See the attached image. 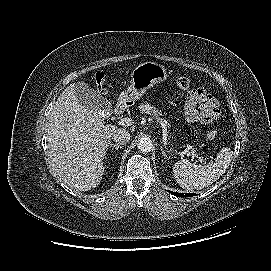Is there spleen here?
Instances as JSON below:
<instances>
[{
	"mask_svg": "<svg viewBox=\"0 0 271 271\" xmlns=\"http://www.w3.org/2000/svg\"><path fill=\"white\" fill-rule=\"evenodd\" d=\"M232 158L233 151L226 147L206 165H196L184 159L174 164L173 175L183 189L200 190L219 179L229 167Z\"/></svg>",
	"mask_w": 271,
	"mask_h": 271,
	"instance_id": "obj_1",
	"label": "spleen"
}]
</instances>
